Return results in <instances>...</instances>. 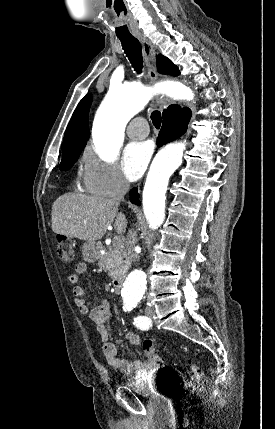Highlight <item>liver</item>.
Returning a JSON list of instances; mask_svg holds the SVG:
<instances>
[{
    "instance_id": "6515ba94",
    "label": "liver",
    "mask_w": 275,
    "mask_h": 429,
    "mask_svg": "<svg viewBox=\"0 0 275 429\" xmlns=\"http://www.w3.org/2000/svg\"><path fill=\"white\" fill-rule=\"evenodd\" d=\"M119 202L114 199L66 193L52 205V230L56 234L85 241L100 240L113 224L118 234L127 227L124 214L118 213Z\"/></svg>"
}]
</instances>
